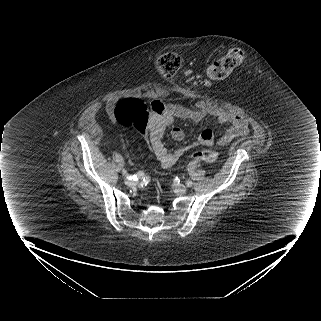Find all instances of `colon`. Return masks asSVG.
<instances>
[{"instance_id":"1","label":"colon","mask_w":321,"mask_h":321,"mask_svg":"<svg viewBox=\"0 0 321 321\" xmlns=\"http://www.w3.org/2000/svg\"><path fill=\"white\" fill-rule=\"evenodd\" d=\"M245 53L241 48L230 49L222 58L212 63L207 69V76L213 80L223 79L242 64ZM156 69L165 78L174 77L181 67V58L177 53L168 52L156 59ZM115 121L123 128L134 127L144 131L148 125L149 112L140 100L127 99L121 101L114 110ZM194 157L206 163H214L218 159L216 152L201 150Z\"/></svg>"}]
</instances>
